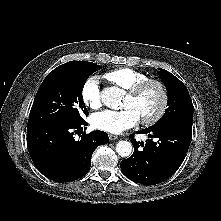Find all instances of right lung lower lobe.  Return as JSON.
<instances>
[{
    "label": "right lung lower lobe",
    "mask_w": 221,
    "mask_h": 221,
    "mask_svg": "<svg viewBox=\"0 0 221 221\" xmlns=\"http://www.w3.org/2000/svg\"><path fill=\"white\" fill-rule=\"evenodd\" d=\"M86 121L74 124L48 123L27 127V145L37 169L56 182H68L84 176L90 169L95 148L107 144V133L83 132ZM86 127H84L85 129ZM81 135L79 140L74 134Z\"/></svg>",
    "instance_id": "obj_1"
}]
</instances>
